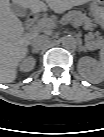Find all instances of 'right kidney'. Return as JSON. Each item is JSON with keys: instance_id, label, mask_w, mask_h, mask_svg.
<instances>
[{"instance_id": "ca27d5eb", "label": "right kidney", "mask_w": 104, "mask_h": 137, "mask_svg": "<svg viewBox=\"0 0 104 137\" xmlns=\"http://www.w3.org/2000/svg\"><path fill=\"white\" fill-rule=\"evenodd\" d=\"M35 65V60L33 58H26L20 65V69L23 71H30Z\"/></svg>"}]
</instances>
